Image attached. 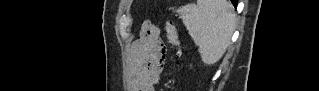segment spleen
Returning <instances> with one entry per match:
<instances>
[{
  "mask_svg": "<svg viewBox=\"0 0 319 91\" xmlns=\"http://www.w3.org/2000/svg\"><path fill=\"white\" fill-rule=\"evenodd\" d=\"M176 12L198 46L206 65L218 62L230 44L236 15L226 0H198L197 4L181 6Z\"/></svg>",
  "mask_w": 319,
  "mask_h": 91,
  "instance_id": "1",
  "label": "spleen"
}]
</instances>
